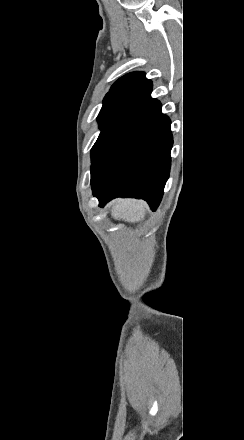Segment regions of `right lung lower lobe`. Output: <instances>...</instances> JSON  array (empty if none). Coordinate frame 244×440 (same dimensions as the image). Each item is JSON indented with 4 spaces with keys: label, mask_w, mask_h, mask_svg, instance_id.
Masks as SVG:
<instances>
[{
    "label": "right lung lower lobe",
    "mask_w": 244,
    "mask_h": 440,
    "mask_svg": "<svg viewBox=\"0 0 244 440\" xmlns=\"http://www.w3.org/2000/svg\"><path fill=\"white\" fill-rule=\"evenodd\" d=\"M170 123L160 102L149 95L116 124L91 166L100 207L116 197H134L156 210L170 172Z\"/></svg>",
    "instance_id": "obj_1"
}]
</instances>
